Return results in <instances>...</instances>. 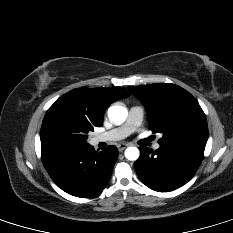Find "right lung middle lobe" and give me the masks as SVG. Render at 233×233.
<instances>
[{"label": "right lung middle lobe", "mask_w": 233, "mask_h": 233, "mask_svg": "<svg viewBox=\"0 0 233 233\" xmlns=\"http://www.w3.org/2000/svg\"><path fill=\"white\" fill-rule=\"evenodd\" d=\"M96 125L73 110L69 103L58 99L46 112L40 131L41 145L64 143L87 144L88 132Z\"/></svg>", "instance_id": "right-lung-middle-lobe-1"}]
</instances>
